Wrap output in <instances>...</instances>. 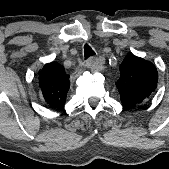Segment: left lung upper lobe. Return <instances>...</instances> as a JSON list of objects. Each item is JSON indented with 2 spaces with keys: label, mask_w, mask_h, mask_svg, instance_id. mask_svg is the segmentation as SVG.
<instances>
[{
  "label": "left lung upper lobe",
  "mask_w": 169,
  "mask_h": 169,
  "mask_svg": "<svg viewBox=\"0 0 169 169\" xmlns=\"http://www.w3.org/2000/svg\"><path fill=\"white\" fill-rule=\"evenodd\" d=\"M120 72L116 86L122 103L128 107L140 103L156 87V68L141 58L127 56L120 65Z\"/></svg>",
  "instance_id": "5c2ea615"
}]
</instances>
